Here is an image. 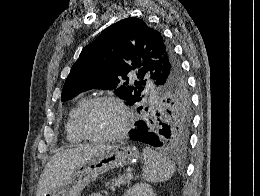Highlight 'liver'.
Returning <instances> with one entry per match:
<instances>
[{"instance_id":"1","label":"liver","mask_w":260,"mask_h":196,"mask_svg":"<svg viewBox=\"0 0 260 196\" xmlns=\"http://www.w3.org/2000/svg\"><path fill=\"white\" fill-rule=\"evenodd\" d=\"M106 146H96V144H87V146H76L72 150H62L56 152L49 162H47L41 178L38 182L36 196H44L49 192L59 190L61 186L70 180L74 170L79 168L81 164H85L91 160L93 156L101 154Z\"/></svg>"}]
</instances>
